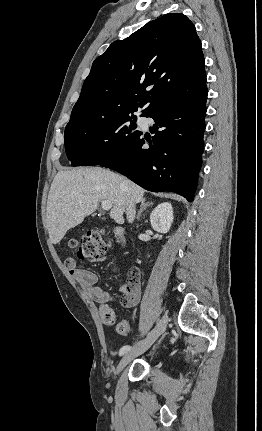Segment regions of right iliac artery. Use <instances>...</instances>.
Segmentation results:
<instances>
[{
	"label": "right iliac artery",
	"instance_id": "obj_1",
	"mask_svg": "<svg viewBox=\"0 0 262 431\" xmlns=\"http://www.w3.org/2000/svg\"><path fill=\"white\" fill-rule=\"evenodd\" d=\"M130 346H123L121 349H120V351H119V355L120 356H122V355H124L128 350H130Z\"/></svg>",
	"mask_w": 262,
	"mask_h": 431
}]
</instances>
